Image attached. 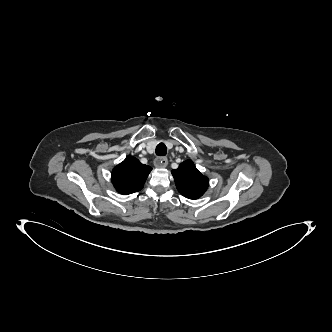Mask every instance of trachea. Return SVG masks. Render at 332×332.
I'll use <instances>...</instances> for the list:
<instances>
[{"label":"trachea","mask_w":332,"mask_h":332,"mask_svg":"<svg viewBox=\"0 0 332 332\" xmlns=\"http://www.w3.org/2000/svg\"><path fill=\"white\" fill-rule=\"evenodd\" d=\"M156 155L158 156H165L166 155V152H167V147L164 143H159L157 146H156Z\"/></svg>","instance_id":"3493384b"}]
</instances>
